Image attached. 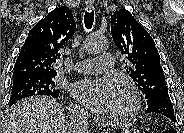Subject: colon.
<instances>
[{"mask_svg": "<svg viewBox=\"0 0 184 133\" xmlns=\"http://www.w3.org/2000/svg\"><path fill=\"white\" fill-rule=\"evenodd\" d=\"M164 133H175V131L172 128H167Z\"/></svg>", "mask_w": 184, "mask_h": 133, "instance_id": "5ec220e1", "label": "colon"}]
</instances>
